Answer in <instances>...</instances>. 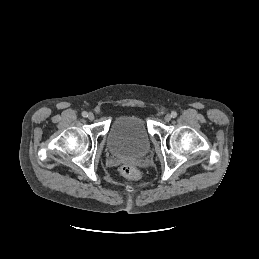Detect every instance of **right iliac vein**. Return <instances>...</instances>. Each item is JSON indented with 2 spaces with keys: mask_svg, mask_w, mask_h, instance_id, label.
Wrapping results in <instances>:
<instances>
[{
  "mask_svg": "<svg viewBox=\"0 0 259 259\" xmlns=\"http://www.w3.org/2000/svg\"><path fill=\"white\" fill-rule=\"evenodd\" d=\"M87 118H88L89 120H93V119H94V114H93V113H89V114L87 115Z\"/></svg>",
  "mask_w": 259,
  "mask_h": 259,
  "instance_id": "obj_1",
  "label": "right iliac vein"
}]
</instances>
